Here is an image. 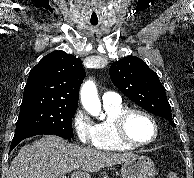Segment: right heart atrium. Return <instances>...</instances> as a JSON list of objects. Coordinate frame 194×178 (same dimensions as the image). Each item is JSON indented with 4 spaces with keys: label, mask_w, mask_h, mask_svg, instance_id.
Here are the masks:
<instances>
[{
    "label": "right heart atrium",
    "mask_w": 194,
    "mask_h": 178,
    "mask_svg": "<svg viewBox=\"0 0 194 178\" xmlns=\"http://www.w3.org/2000/svg\"><path fill=\"white\" fill-rule=\"evenodd\" d=\"M71 124L78 141L83 146H94V124L84 109L78 108L75 110Z\"/></svg>",
    "instance_id": "d8ad5b80"
}]
</instances>
